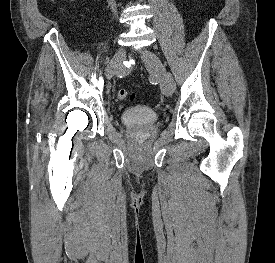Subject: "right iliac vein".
Returning a JSON list of instances; mask_svg holds the SVG:
<instances>
[{"instance_id": "1", "label": "right iliac vein", "mask_w": 275, "mask_h": 263, "mask_svg": "<svg viewBox=\"0 0 275 263\" xmlns=\"http://www.w3.org/2000/svg\"><path fill=\"white\" fill-rule=\"evenodd\" d=\"M125 57H126V50L123 47H120L114 54L112 60L110 61L106 69L107 78H111L119 70Z\"/></svg>"}]
</instances>
